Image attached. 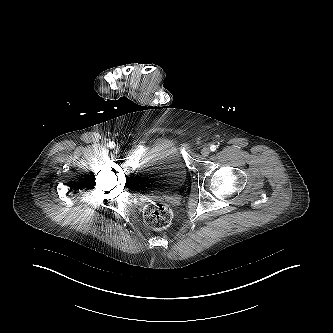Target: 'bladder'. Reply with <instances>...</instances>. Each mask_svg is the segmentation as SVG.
Wrapping results in <instances>:
<instances>
[{
    "mask_svg": "<svg viewBox=\"0 0 333 333\" xmlns=\"http://www.w3.org/2000/svg\"><path fill=\"white\" fill-rule=\"evenodd\" d=\"M186 177L181 142L173 136L162 138L155 149L143 157L135 173L137 188L144 192L174 191L182 186Z\"/></svg>",
    "mask_w": 333,
    "mask_h": 333,
    "instance_id": "31cf9c89",
    "label": "bladder"
}]
</instances>
